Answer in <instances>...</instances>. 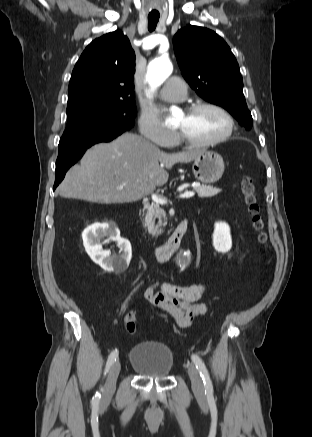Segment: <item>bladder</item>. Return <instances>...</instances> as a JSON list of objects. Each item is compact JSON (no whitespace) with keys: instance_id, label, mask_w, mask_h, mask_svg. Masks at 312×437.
I'll use <instances>...</instances> for the list:
<instances>
[{"instance_id":"bladder-1","label":"bladder","mask_w":312,"mask_h":437,"mask_svg":"<svg viewBox=\"0 0 312 437\" xmlns=\"http://www.w3.org/2000/svg\"><path fill=\"white\" fill-rule=\"evenodd\" d=\"M129 365L141 376L164 379L173 370L174 356L166 344L158 341H145L131 348Z\"/></svg>"}]
</instances>
